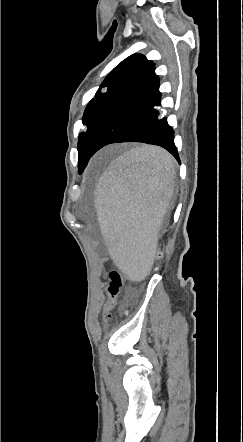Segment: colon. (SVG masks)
Listing matches in <instances>:
<instances>
[{
  "label": "colon",
  "mask_w": 243,
  "mask_h": 442,
  "mask_svg": "<svg viewBox=\"0 0 243 442\" xmlns=\"http://www.w3.org/2000/svg\"><path fill=\"white\" fill-rule=\"evenodd\" d=\"M168 242L163 239L161 245L157 246L156 250L152 251V260L155 263L161 262L167 251ZM104 276L108 278V285L106 288V300L103 307L102 319L106 323L111 317L112 313L117 305L118 299L122 296L123 286L127 284V279L122 277L125 273H121L119 269L114 266H109L104 273Z\"/></svg>",
  "instance_id": "colon-1"
}]
</instances>
